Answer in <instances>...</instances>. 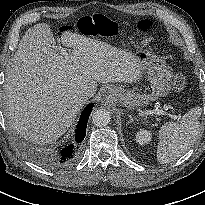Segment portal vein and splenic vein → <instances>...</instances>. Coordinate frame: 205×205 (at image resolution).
Here are the masks:
<instances>
[{
  "mask_svg": "<svg viewBox=\"0 0 205 205\" xmlns=\"http://www.w3.org/2000/svg\"><path fill=\"white\" fill-rule=\"evenodd\" d=\"M62 53H63V55H65L67 57L68 54H67V52L65 50H63ZM165 110L167 111V108H165ZM146 113L147 114H156V115H164L165 114V115L169 116L173 120L179 119V116L167 113L164 110H159V109L148 110Z\"/></svg>",
  "mask_w": 205,
  "mask_h": 205,
  "instance_id": "obj_1",
  "label": "portal vein and splenic vein"
}]
</instances>
